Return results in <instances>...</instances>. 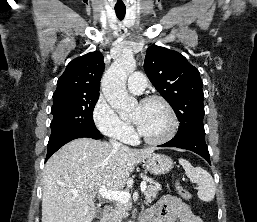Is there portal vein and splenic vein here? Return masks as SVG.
I'll list each match as a JSON object with an SVG mask.
<instances>
[{"label": "portal vein and splenic vein", "instance_id": "1", "mask_svg": "<svg viewBox=\"0 0 257 222\" xmlns=\"http://www.w3.org/2000/svg\"><path fill=\"white\" fill-rule=\"evenodd\" d=\"M145 190H146V183L142 182L141 191L144 193ZM98 195L102 198L117 201L120 203H128L131 197L130 194L126 192L108 190L104 185H102L98 190Z\"/></svg>", "mask_w": 257, "mask_h": 222}]
</instances>
